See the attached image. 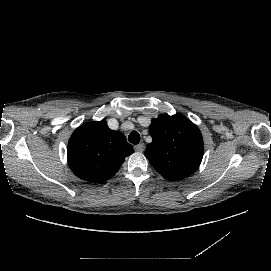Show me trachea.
I'll list each match as a JSON object with an SVG mask.
<instances>
[{
  "instance_id": "1",
  "label": "trachea",
  "mask_w": 271,
  "mask_h": 271,
  "mask_svg": "<svg viewBox=\"0 0 271 271\" xmlns=\"http://www.w3.org/2000/svg\"><path fill=\"white\" fill-rule=\"evenodd\" d=\"M129 142L133 144H138L140 142V135L136 131H132L128 136Z\"/></svg>"
}]
</instances>
